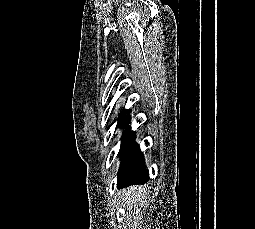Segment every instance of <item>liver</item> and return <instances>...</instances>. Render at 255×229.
I'll return each instance as SVG.
<instances>
[{"label":"liver","instance_id":"obj_1","mask_svg":"<svg viewBox=\"0 0 255 229\" xmlns=\"http://www.w3.org/2000/svg\"><path fill=\"white\" fill-rule=\"evenodd\" d=\"M143 190L144 189L142 187H128L127 189L122 190V193H120V198L123 202H125L124 204L127 208H132L133 205H137L138 202L142 199Z\"/></svg>","mask_w":255,"mask_h":229}]
</instances>
